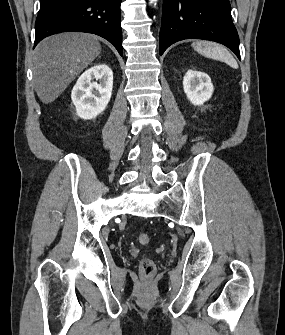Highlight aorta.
I'll return each instance as SVG.
<instances>
[{
	"instance_id": "1",
	"label": "aorta",
	"mask_w": 285,
	"mask_h": 335,
	"mask_svg": "<svg viewBox=\"0 0 285 335\" xmlns=\"http://www.w3.org/2000/svg\"><path fill=\"white\" fill-rule=\"evenodd\" d=\"M155 2H157V0H150V4H155Z\"/></svg>"
}]
</instances>
